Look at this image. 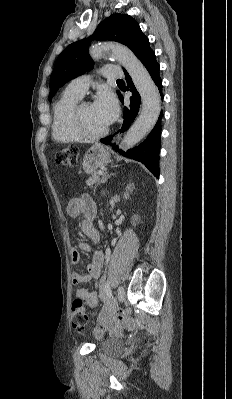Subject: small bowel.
Returning <instances> with one entry per match:
<instances>
[{
	"instance_id": "obj_1",
	"label": "small bowel",
	"mask_w": 232,
	"mask_h": 399,
	"mask_svg": "<svg viewBox=\"0 0 232 399\" xmlns=\"http://www.w3.org/2000/svg\"><path fill=\"white\" fill-rule=\"evenodd\" d=\"M69 212L74 215L83 214L84 218L79 224L80 231L86 235L87 241H81L78 244L79 249H89L91 245L102 243V238L97 235L91 222V218L97 211V205L90 195L82 194L74 198L69 203ZM69 260L71 263L80 261V254L77 250L69 251ZM103 264V255L99 252L92 255V259L88 264V275L82 273H74L71 281L73 284H81L87 281L88 277L97 278L101 274ZM73 295L75 298L84 302L89 308H97L98 299L94 291L86 290L81 287L74 288Z\"/></svg>"
}]
</instances>
